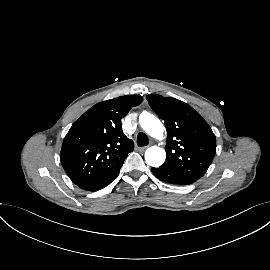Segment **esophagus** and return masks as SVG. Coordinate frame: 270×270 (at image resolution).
<instances>
[{
  "instance_id": "1",
  "label": "esophagus",
  "mask_w": 270,
  "mask_h": 270,
  "mask_svg": "<svg viewBox=\"0 0 270 270\" xmlns=\"http://www.w3.org/2000/svg\"><path fill=\"white\" fill-rule=\"evenodd\" d=\"M146 149H147V147H140V148H138V150H139L140 152H144Z\"/></svg>"
}]
</instances>
